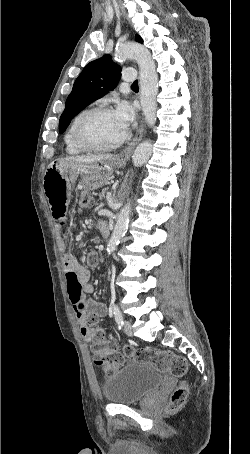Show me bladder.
I'll return each mask as SVG.
<instances>
[{
	"label": "bladder",
	"instance_id": "bladder-1",
	"mask_svg": "<svg viewBox=\"0 0 250 454\" xmlns=\"http://www.w3.org/2000/svg\"><path fill=\"white\" fill-rule=\"evenodd\" d=\"M163 376L149 364L132 362L110 374L103 382L105 399L112 404H135L159 388Z\"/></svg>",
	"mask_w": 250,
	"mask_h": 454
}]
</instances>
